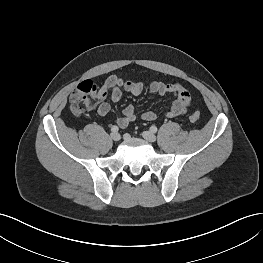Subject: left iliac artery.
<instances>
[{"mask_svg":"<svg viewBox=\"0 0 263 263\" xmlns=\"http://www.w3.org/2000/svg\"><path fill=\"white\" fill-rule=\"evenodd\" d=\"M150 131L153 132V133H156L157 132V127L155 125H152L150 127Z\"/></svg>","mask_w":263,"mask_h":263,"instance_id":"obj_1","label":"left iliac artery"}]
</instances>
